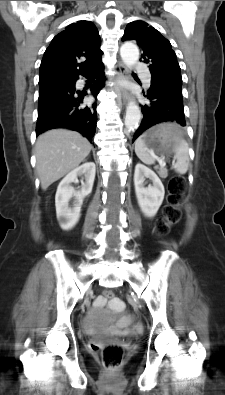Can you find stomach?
Instances as JSON below:
<instances>
[{
  "instance_id": "stomach-1",
  "label": "stomach",
  "mask_w": 225,
  "mask_h": 395,
  "mask_svg": "<svg viewBox=\"0 0 225 395\" xmlns=\"http://www.w3.org/2000/svg\"><path fill=\"white\" fill-rule=\"evenodd\" d=\"M146 147L157 153H169L182 139V131L176 123H162L144 134Z\"/></svg>"
}]
</instances>
